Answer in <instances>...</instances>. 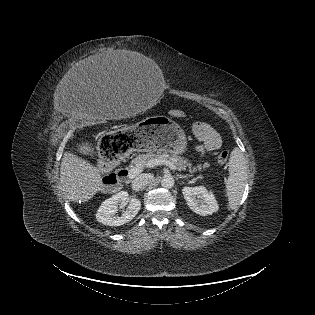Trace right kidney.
Returning <instances> with one entry per match:
<instances>
[{
  "mask_svg": "<svg viewBox=\"0 0 315 315\" xmlns=\"http://www.w3.org/2000/svg\"><path fill=\"white\" fill-rule=\"evenodd\" d=\"M128 202V193L121 191L102 202L96 213L98 222L108 226H120L130 222L139 212L141 202L132 198L128 204L127 210L121 216L115 215L118 211V205L124 206Z\"/></svg>",
  "mask_w": 315,
  "mask_h": 315,
  "instance_id": "ca27d5eb",
  "label": "right kidney"
}]
</instances>
